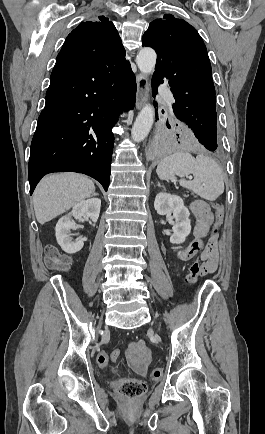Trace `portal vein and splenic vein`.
<instances>
[{"mask_svg": "<svg viewBox=\"0 0 265 434\" xmlns=\"http://www.w3.org/2000/svg\"><path fill=\"white\" fill-rule=\"evenodd\" d=\"M188 180H192V176H188Z\"/></svg>", "mask_w": 265, "mask_h": 434, "instance_id": "portal-vein-and-splenic-vein-1", "label": "portal vein and splenic vein"}]
</instances>
